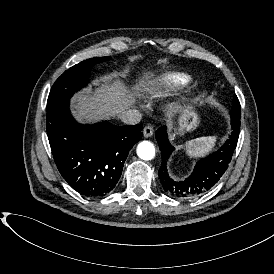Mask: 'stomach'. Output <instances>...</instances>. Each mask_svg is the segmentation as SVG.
Here are the masks:
<instances>
[{
    "instance_id": "1",
    "label": "stomach",
    "mask_w": 274,
    "mask_h": 274,
    "mask_svg": "<svg viewBox=\"0 0 274 274\" xmlns=\"http://www.w3.org/2000/svg\"><path fill=\"white\" fill-rule=\"evenodd\" d=\"M199 122L200 120L198 114L194 111L187 110L179 117V127L176 133L182 136L185 132H189L196 129V127L199 125Z\"/></svg>"
}]
</instances>
